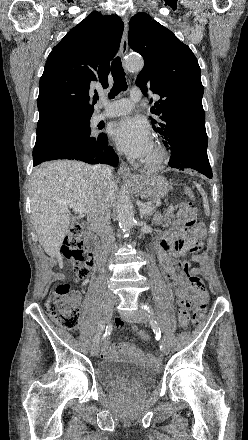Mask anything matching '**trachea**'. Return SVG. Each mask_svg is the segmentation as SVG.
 Masks as SVG:
<instances>
[{
	"instance_id": "trachea-1",
	"label": "trachea",
	"mask_w": 248,
	"mask_h": 440,
	"mask_svg": "<svg viewBox=\"0 0 248 440\" xmlns=\"http://www.w3.org/2000/svg\"><path fill=\"white\" fill-rule=\"evenodd\" d=\"M111 73L114 80V85L109 93V98L113 99L115 96H117L121 91L127 90V83L125 78V72L122 67L121 59L120 57H116L111 64ZM96 99H98V96H96Z\"/></svg>"
}]
</instances>
